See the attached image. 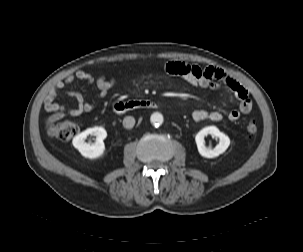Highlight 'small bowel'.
Returning <instances> with one entry per match:
<instances>
[{"mask_svg": "<svg viewBox=\"0 0 303 252\" xmlns=\"http://www.w3.org/2000/svg\"><path fill=\"white\" fill-rule=\"evenodd\" d=\"M164 68L168 74L177 76L192 86L213 90H222L224 87H227L239 102L238 107L231 110L228 114V118L231 121H237L242 115L248 114L252 109V100L247 89L218 69L175 61L166 63ZM74 81H85L96 87L99 101H104L115 85L114 79H107L103 75L94 76L82 70H78L74 74L57 82L50 89L44 101V110L47 113H51L47 119V125L54 124L65 116L77 117L85 112L92 111L96 107L95 102L85 100L83 95L76 91H68V94L77 100V107L66 109L61 104L55 102L57 94L63 91L66 85ZM192 119L196 122L204 120L218 122L223 119V114L219 111L198 109L192 112Z\"/></svg>", "mask_w": 303, "mask_h": 252, "instance_id": "obj_1", "label": "small bowel"}]
</instances>
